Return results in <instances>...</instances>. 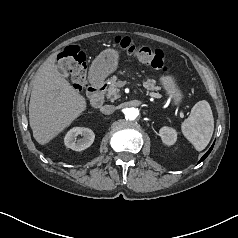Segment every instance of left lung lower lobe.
Returning a JSON list of instances; mask_svg holds the SVG:
<instances>
[{
    "instance_id": "0a47b994",
    "label": "left lung lower lobe",
    "mask_w": 238,
    "mask_h": 238,
    "mask_svg": "<svg viewBox=\"0 0 238 238\" xmlns=\"http://www.w3.org/2000/svg\"><path fill=\"white\" fill-rule=\"evenodd\" d=\"M212 148H213V145H212V147L209 149V151L201 158V160L199 161V163H200L201 161H203V160L209 155V153L211 152Z\"/></svg>"
}]
</instances>
